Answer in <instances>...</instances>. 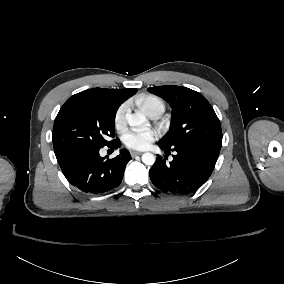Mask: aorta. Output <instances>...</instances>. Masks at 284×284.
Returning a JSON list of instances; mask_svg holds the SVG:
<instances>
[{"label": "aorta", "instance_id": "1", "mask_svg": "<svg viewBox=\"0 0 284 284\" xmlns=\"http://www.w3.org/2000/svg\"><path fill=\"white\" fill-rule=\"evenodd\" d=\"M128 124L130 126H140L146 123V117L142 113L130 114L127 116ZM142 161L146 165H153L155 163V156L152 153H144Z\"/></svg>", "mask_w": 284, "mask_h": 284}]
</instances>
